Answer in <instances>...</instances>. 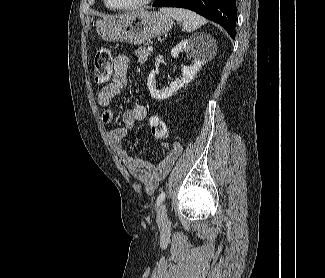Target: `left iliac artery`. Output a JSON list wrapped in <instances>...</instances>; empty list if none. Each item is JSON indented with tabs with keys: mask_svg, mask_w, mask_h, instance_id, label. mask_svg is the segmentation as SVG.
<instances>
[{
	"mask_svg": "<svg viewBox=\"0 0 325 278\" xmlns=\"http://www.w3.org/2000/svg\"><path fill=\"white\" fill-rule=\"evenodd\" d=\"M165 196H166V193L165 192H161L157 198V201H156V206L158 207L162 202L163 200L165 199Z\"/></svg>",
	"mask_w": 325,
	"mask_h": 278,
	"instance_id": "1",
	"label": "left iliac artery"
}]
</instances>
